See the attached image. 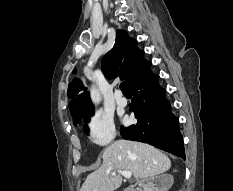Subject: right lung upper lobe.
Listing matches in <instances>:
<instances>
[{
    "instance_id": "cb5924a9",
    "label": "right lung upper lobe",
    "mask_w": 233,
    "mask_h": 191,
    "mask_svg": "<svg viewBox=\"0 0 233 191\" xmlns=\"http://www.w3.org/2000/svg\"><path fill=\"white\" fill-rule=\"evenodd\" d=\"M144 51L137 47V41L130 38L126 31L118 29L113 48L102 59V70L109 79L120 75L127 84L145 62ZM83 85L75 79L68 86V97L72 98L69 108L72 116L93 110L89 92H81Z\"/></svg>"
}]
</instances>
